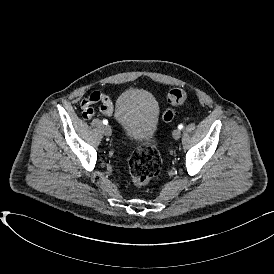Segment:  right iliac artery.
I'll return each instance as SVG.
<instances>
[{
	"label": "right iliac artery",
	"mask_w": 274,
	"mask_h": 274,
	"mask_svg": "<svg viewBox=\"0 0 274 274\" xmlns=\"http://www.w3.org/2000/svg\"><path fill=\"white\" fill-rule=\"evenodd\" d=\"M103 123H104L105 125H107V124H108V121L105 119V120H103Z\"/></svg>",
	"instance_id": "1"
}]
</instances>
